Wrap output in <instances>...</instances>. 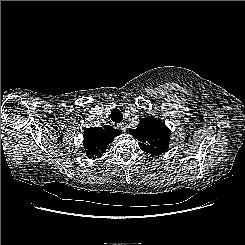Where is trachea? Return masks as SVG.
<instances>
[{
	"mask_svg": "<svg viewBox=\"0 0 245 245\" xmlns=\"http://www.w3.org/2000/svg\"><path fill=\"white\" fill-rule=\"evenodd\" d=\"M111 120L120 123L123 120V114L119 109H113L111 112Z\"/></svg>",
	"mask_w": 245,
	"mask_h": 245,
	"instance_id": "trachea-1",
	"label": "trachea"
}]
</instances>
